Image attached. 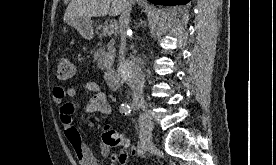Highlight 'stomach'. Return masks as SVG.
Masks as SVG:
<instances>
[{"label":"stomach","mask_w":276,"mask_h":165,"mask_svg":"<svg viewBox=\"0 0 276 165\" xmlns=\"http://www.w3.org/2000/svg\"><path fill=\"white\" fill-rule=\"evenodd\" d=\"M66 23L75 28L82 37L91 39L93 37L92 20L89 17H70Z\"/></svg>","instance_id":"stomach-1"}]
</instances>
